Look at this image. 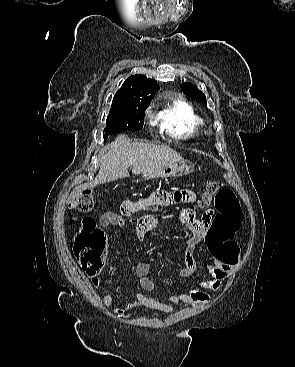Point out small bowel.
Segmentation results:
<instances>
[{
    "instance_id": "c3829d8e",
    "label": "small bowel",
    "mask_w": 295,
    "mask_h": 367,
    "mask_svg": "<svg viewBox=\"0 0 295 367\" xmlns=\"http://www.w3.org/2000/svg\"><path fill=\"white\" fill-rule=\"evenodd\" d=\"M164 198L165 203L171 202H188L194 200V195L185 190L175 192H160L149 198L126 201L121 204L118 212H106L100 217V225L103 228L111 226H123L126 222L135 224V235L139 241H142L146 233L158 225V219L154 216L146 215L139 218H133V215L140 209L160 203V199ZM169 214H175L180 223L186 228L190 236L187 240V247L184 253V264L179 271L182 278L191 276L198 267V262L195 257V252L202 240H206L207 234L212 222L213 211L205 212L201 218L196 217L197 210L194 208H179L169 209ZM209 251L212 254V259L205 265L206 270L210 274V279L200 282L202 289H210L217 292L222 285V282L227 280L234 272L235 263L223 261L210 247ZM151 268V263L147 260L141 261L135 268V274L138 278L139 285L144 291H153L155 288L154 281L148 276ZM92 283L95 287L101 285L99 277H92ZM210 300V295L200 289H191L187 292L172 294L168 297V303H161L152 298L146 297L141 292L135 294V300L130 301L122 306H117L114 312L117 315L123 314L133 308L144 305L159 309L164 312L173 311V304L184 303L191 305L194 303H206ZM102 302L105 306H111L113 296L111 293H106Z\"/></svg>"
}]
</instances>
